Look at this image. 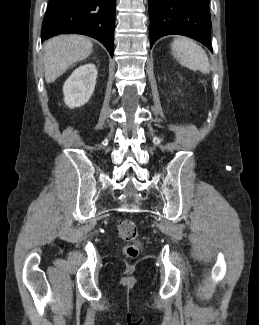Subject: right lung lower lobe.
<instances>
[{
  "label": "right lung lower lobe",
  "instance_id": "right-lung-lower-lobe-1",
  "mask_svg": "<svg viewBox=\"0 0 259 325\" xmlns=\"http://www.w3.org/2000/svg\"><path fill=\"white\" fill-rule=\"evenodd\" d=\"M116 0H49L41 39L77 33L99 40L113 56Z\"/></svg>",
  "mask_w": 259,
  "mask_h": 325
}]
</instances>
